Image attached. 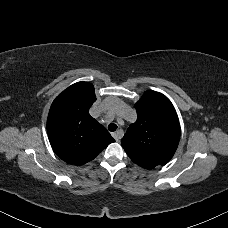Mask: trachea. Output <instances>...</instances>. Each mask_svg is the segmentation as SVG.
I'll use <instances>...</instances> for the list:
<instances>
[{
	"mask_svg": "<svg viewBox=\"0 0 228 228\" xmlns=\"http://www.w3.org/2000/svg\"><path fill=\"white\" fill-rule=\"evenodd\" d=\"M117 129V125L115 123H111L108 125V130L110 132H114Z\"/></svg>",
	"mask_w": 228,
	"mask_h": 228,
	"instance_id": "obj_1",
	"label": "trachea"
}]
</instances>
